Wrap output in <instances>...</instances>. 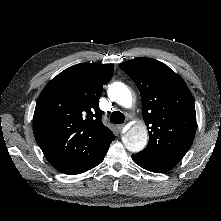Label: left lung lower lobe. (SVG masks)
I'll use <instances>...</instances> for the list:
<instances>
[{
	"label": "left lung lower lobe",
	"mask_w": 221,
	"mask_h": 221,
	"mask_svg": "<svg viewBox=\"0 0 221 221\" xmlns=\"http://www.w3.org/2000/svg\"><path fill=\"white\" fill-rule=\"evenodd\" d=\"M132 159L140 167L156 173L167 172L175 166V164L148 157L140 153L132 155Z\"/></svg>",
	"instance_id": "obj_1"
}]
</instances>
